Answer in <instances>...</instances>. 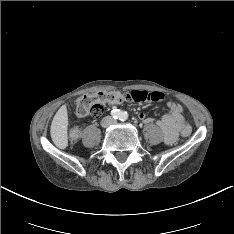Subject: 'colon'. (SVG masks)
<instances>
[{
	"mask_svg": "<svg viewBox=\"0 0 234 234\" xmlns=\"http://www.w3.org/2000/svg\"><path fill=\"white\" fill-rule=\"evenodd\" d=\"M164 95L160 92H145V91H99L93 94L83 95L75 100V113L78 117H99L104 112L106 104H120L124 102L143 103L147 101L158 102L163 100ZM191 127L185 126L182 135L189 136ZM80 136L78 128H72L69 132V140L75 143Z\"/></svg>",
	"mask_w": 234,
	"mask_h": 234,
	"instance_id": "5ec220e1",
	"label": "colon"
}]
</instances>
